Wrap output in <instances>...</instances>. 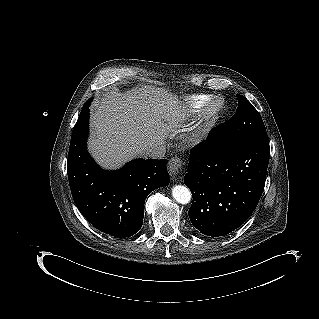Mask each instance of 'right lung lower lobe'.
Masks as SVG:
<instances>
[{
	"label": "right lung lower lobe",
	"mask_w": 319,
	"mask_h": 319,
	"mask_svg": "<svg viewBox=\"0 0 319 319\" xmlns=\"http://www.w3.org/2000/svg\"><path fill=\"white\" fill-rule=\"evenodd\" d=\"M88 121L89 105L73 128L68 154L74 202L96 229L114 237H130L142 227L146 197L169 184L168 161L137 159L120 170L104 171L87 152Z\"/></svg>",
	"instance_id": "1"
}]
</instances>
